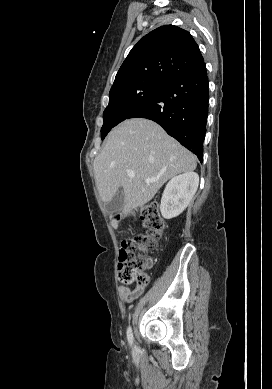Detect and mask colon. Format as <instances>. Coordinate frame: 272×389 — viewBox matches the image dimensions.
I'll list each match as a JSON object with an SVG mask.
<instances>
[{"label":"colon","instance_id":"colon-1","mask_svg":"<svg viewBox=\"0 0 272 389\" xmlns=\"http://www.w3.org/2000/svg\"><path fill=\"white\" fill-rule=\"evenodd\" d=\"M138 216L143 222L145 232L134 239L123 241L119 252L118 269L122 283L145 286L148 283L145 272L146 255L154 251L163 239L165 222L156 203L141 207Z\"/></svg>","mask_w":272,"mask_h":389}]
</instances>
